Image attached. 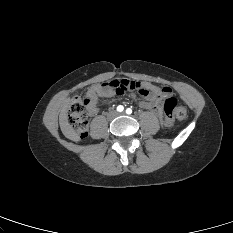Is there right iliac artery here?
<instances>
[{
    "instance_id": "1",
    "label": "right iliac artery",
    "mask_w": 233,
    "mask_h": 233,
    "mask_svg": "<svg viewBox=\"0 0 233 233\" xmlns=\"http://www.w3.org/2000/svg\"><path fill=\"white\" fill-rule=\"evenodd\" d=\"M124 110V107L122 106V105H119L118 107H117V111L118 112H122Z\"/></svg>"
}]
</instances>
